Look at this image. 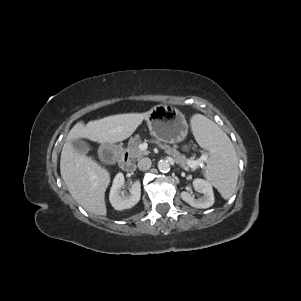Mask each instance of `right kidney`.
Here are the masks:
<instances>
[{"mask_svg": "<svg viewBox=\"0 0 301 301\" xmlns=\"http://www.w3.org/2000/svg\"><path fill=\"white\" fill-rule=\"evenodd\" d=\"M124 185V175L118 173L110 190L109 200L115 210L122 211L135 206L141 197V184L139 181L134 182L130 189V196H125L121 188Z\"/></svg>", "mask_w": 301, "mask_h": 301, "instance_id": "right-kidney-1", "label": "right kidney"}]
</instances>
